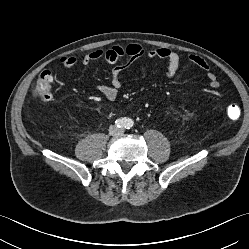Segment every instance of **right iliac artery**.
<instances>
[{
    "label": "right iliac artery",
    "instance_id": "right-iliac-artery-1",
    "mask_svg": "<svg viewBox=\"0 0 249 249\" xmlns=\"http://www.w3.org/2000/svg\"><path fill=\"white\" fill-rule=\"evenodd\" d=\"M126 122L127 120L125 118H119L115 121V124L117 127L123 128V127H126Z\"/></svg>",
    "mask_w": 249,
    "mask_h": 249
}]
</instances>
